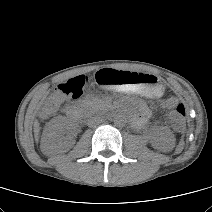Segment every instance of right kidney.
<instances>
[{
    "instance_id": "1",
    "label": "right kidney",
    "mask_w": 212,
    "mask_h": 212,
    "mask_svg": "<svg viewBox=\"0 0 212 212\" xmlns=\"http://www.w3.org/2000/svg\"><path fill=\"white\" fill-rule=\"evenodd\" d=\"M64 124H57L53 130L45 131L41 139V150L43 152L58 150L60 152L67 151L75 143L74 140H62L61 131Z\"/></svg>"
}]
</instances>
